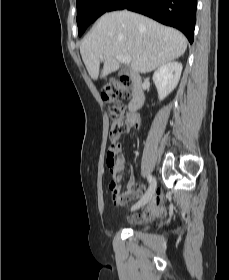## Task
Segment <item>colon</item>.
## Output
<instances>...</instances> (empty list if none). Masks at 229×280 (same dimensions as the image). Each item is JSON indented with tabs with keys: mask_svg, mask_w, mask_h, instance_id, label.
Returning <instances> with one entry per match:
<instances>
[{
	"mask_svg": "<svg viewBox=\"0 0 229 280\" xmlns=\"http://www.w3.org/2000/svg\"><path fill=\"white\" fill-rule=\"evenodd\" d=\"M133 84V80L125 76L117 81L109 82L101 91L103 100L111 104L109 129L110 145L107 150V165L110 170L114 168L116 163L115 155L120 149V136L128 132L133 126L132 121L125 117L124 109L120 106L121 100L129 97L130 89Z\"/></svg>",
	"mask_w": 229,
	"mask_h": 280,
	"instance_id": "5ec220e1",
	"label": "colon"
}]
</instances>
